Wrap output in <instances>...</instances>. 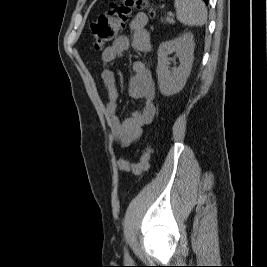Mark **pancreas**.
I'll return each mask as SVG.
<instances>
[{
    "instance_id": "1",
    "label": "pancreas",
    "mask_w": 267,
    "mask_h": 267,
    "mask_svg": "<svg viewBox=\"0 0 267 267\" xmlns=\"http://www.w3.org/2000/svg\"><path fill=\"white\" fill-rule=\"evenodd\" d=\"M161 21L163 22L164 19H161ZM165 22L170 23V24H174L175 23V21L173 19L169 18V17L165 18Z\"/></svg>"
}]
</instances>
